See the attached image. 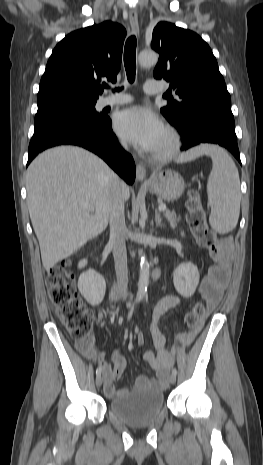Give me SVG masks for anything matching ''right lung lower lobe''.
<instances>
[{
  "instance_id": "98d812e1",
  "label": "right lung lower lobe",
  "mask_w": 263,
  "mask_h": 465,
  "mask_svg": "<svg viewBox=\"0 0 263 465\" xmlns=\"http://www.w3.org/2000/svg\"><path fill=\"white\" fill-rule=\"evenodd\" d=\"M66 144L81 146L92 151L104 159L128 184L134 182L136 173L134 160L120 146L108 116L85 119L73 115H53L35 121L27 165L41 151Z\"/></svg>"
}]
</instances>
